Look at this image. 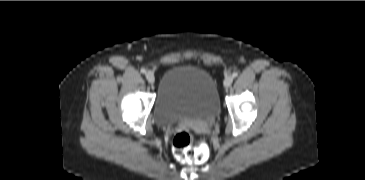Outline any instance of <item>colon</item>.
<instances>
[{"label": "colon", "instance_id": "1", "mask_svg": "<svg viewBox=\"0 0 365 180\" xmlns=\"http://www.w3.org/2000/svg\"><path fill=\"white\" fill-rule=\"evenodd\" d=\"M172 150L177 159L185 164H202L210 156V149L206 144L193 145V136L189 130L179 131L174 136Z\"/></svg>", "mask_w": 365, "mask_h": 180}]
</instances>
